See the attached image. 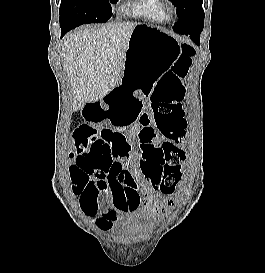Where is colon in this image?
Returning <instances> with one entry per match:
<instances>
[{
  "label": "colon",
  "mask_w": 265,
  "mask_h": 273,
  "mask_svg": "<svg viewBox=\"0 0 265 273\" xmlns=\"http://www.w3.org/2000/svg\"><path fill=\"white\" fill-rule=\"evenodd\" d=\"M195 50L189 45L181 48L179 56L172 66L159 78L152 92L150 113L140 116L143 127L157 128L165 141L160 145L157 156L166 159L162 169L153 174V187L164 195H170L181 179V166L185 153L180 147L186 134L187 120L182 100L185 95L186 77ZM114 124V123H113ZM117 133L111 129H75L73 141L75 150L71 156L75 162L69 167L73 190L95 196L98 184L90 179L91 175H100L110 165L109 144ZM130 192V191H129Z\"/></svg>",
  "instance_id": "5ec220e1"
}]
</instances>
